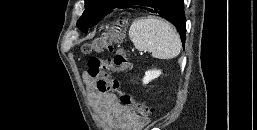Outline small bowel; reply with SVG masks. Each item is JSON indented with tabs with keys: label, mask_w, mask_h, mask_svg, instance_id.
Wrapping results in <instances>:
<instances>
[{
	"label": "small bowel",
	"mask_w": 257,
	"mask_h": 130,
	"mask_svg": "<svg viewBox=\"0 0 257 130\" xmlns=\"http://www.w3.org/2000/svg\"><path fill=\"white\" fill-rule=\"evenodd\" d=\"M83 80L92 102L112 128L140 130L147 124V119L140 117L130 107L121 105L114 94L100 92L96 80L88 73H84Z\"/></svg>",
	"instance_id": "c3829d8e"
}]
</instances>
